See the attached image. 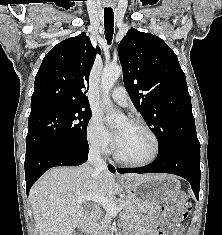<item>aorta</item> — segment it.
I'll return each instance as SVG.
<instances>
[{"label":"aorta","instance_id":"obj_1","mask_svg":"<svg viewBox=\"0 0 222 235\" xmlns=\"http://www.w3.org/2000/svg\"><path fill=\"white\" fill-rule=\"evenodd\" d=\"M122 74V68L119 65L105 66L101 76V86L103 89V104L106 107V121L109 125L114 126L119 124L124 119V115L117 113L109 97V91L113 87L114 83Z\"/></svg>","mask_w":222,"mask_h":235}]
</instances>
